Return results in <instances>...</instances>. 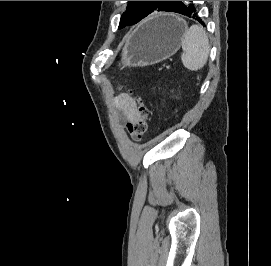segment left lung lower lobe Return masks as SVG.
<instances>
[{
    "instance_id": "obj_1",
    "label": "left lung lower lobe",
    "mask_w": 271,
    "mask_h": 266,
    "mask_svg": "<svg viewBox=\"0 0 271 266\" xmlns=\"http://www.w3.org/2000/svg\"><path fill=\"white\" fill-rule=\"evenodd\" d=\"M168 12H176L188 17L194 18L199 23L204 25L202 19L198 16L197 8L193 1H177Z\"/></svg>"
}]
</instances>
